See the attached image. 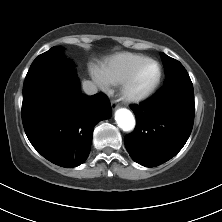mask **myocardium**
Masks as SVG:
<instances>
[{
    "label": "myocardium",
    "instance_id": "myocardium-1",
    "mask_svg": "<svg viewBox=\"0 0 222 222\" xmlns=\"http://www.w3.org/2000/svg\"><path fill=\"white\" fill-rule=\"evenodd\" d=\"M152 63L157 68V76L153 83L141 94H134L131 92V88L138 77L140 71L146 66L147 64ZM162 78V69L160 64L153 60V59H146L143 62L139 63L131 72L130 74L122 81L120 85V96L122 100L128 103H141L146 101L151 95L154 93V91L157 89L161 82Z\"/></svg>",
    "mask_w": 222,
    "mask_h": 222
}]
</instances>
